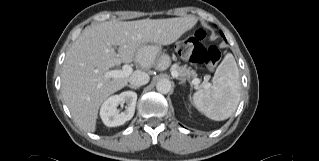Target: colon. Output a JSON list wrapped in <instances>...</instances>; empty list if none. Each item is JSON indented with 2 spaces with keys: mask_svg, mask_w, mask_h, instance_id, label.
Returning <instances> with one entry per match:
<instances>
[{
  "mask_svg": "<svg viewBox=\"0 0 319 161\" xmlns=\"http://www.w3.org/2000/svg\"><path fill=\"white\" fill-rule=\"evenodd\" d=\"M205 37L206 32L203 29L195 30L192 35L178 42V55L193 64L215 66L221 58V51L215 45L204 47L201 41Z\"/></svg>",
  "mask_w": 319,
  "mask_h": 161,
  "instance_id": "obj_1",
  "label": "colon"
}]
</instances>
